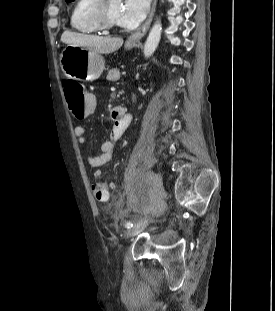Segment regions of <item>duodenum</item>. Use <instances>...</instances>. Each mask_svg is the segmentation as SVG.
Listing matches in <instances>:
<instances>
[{"mask_svg": "<svg viewBox=\"0 0 275 311\" xmlns=\"http://www.w3.org/2000/svg\"><path fill=\"white\" fill-rule=\"evenodd\" d=\"M115 109H116V110H125V108L122 107V106H117Z\"/></svg>", "mask_w": 275, "mask_h": 311, "instance_id": "obj_1", "label": "duodenum"}]
</instances>
